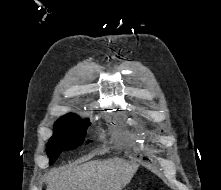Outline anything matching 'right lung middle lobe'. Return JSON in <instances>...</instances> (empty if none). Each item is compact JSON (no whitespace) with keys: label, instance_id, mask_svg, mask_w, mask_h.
<instances>
[{"label":"right lung middle lobe","instance_id":"dd1d6c3e","mask_svg":"<svg viewBox=\"0 0 221 190\" xmlns=\"http://www.w3.org/2000/svg\"><path fill=\"white\" fill-rule=\"evenodd\" d=\"M90 126L88 120L81 122L80 118L73 114L65 115L54 124V134L47 144V154L50 163H53L60 152L75 149L84 141L86 129Z\"/></svg>","mask_w":221,"mask_h":190}]
</instances>
